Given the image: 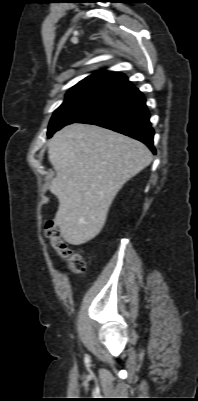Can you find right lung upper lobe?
I'll list each match as a JSON object with an SVG mask.
<instances>
[{"instance_id":"right-lung-upper-lobe-1","label":"right lung upper lobe","mask_w":198,"mask_h":401,"mask_svg":"<svg viewBox=\"0 0 198 401\" xmlns=\"http://www.w3.org/2000/svg\"><path fill=\"white\" fill-rule=\"evenodd\" d=\"M127 78L125 75L120 73H114L109 71H98L92 75L86 77L78 84L73 86L67 93L88 90V89H99L111 91L119 84L124 82Z\"/></svg>"}]
</instances>
